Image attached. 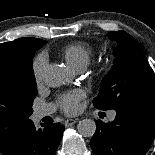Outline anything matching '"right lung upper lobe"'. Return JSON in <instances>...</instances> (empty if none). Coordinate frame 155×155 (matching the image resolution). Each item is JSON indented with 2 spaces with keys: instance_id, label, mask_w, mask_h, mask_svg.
<instances>
[{
  "instance_id": "right-lung-upper-lobe-1",
  "label": "right lung upper lobe",
  "mask_w": 155,
  "mask_h": 155,
  "mask_svg": "<svg viewBox=\"0 0 155 155\" xmlns=\"http://www.w3.org/2000/svg\"><path fill=\"white\" fill-rule=\"evenodd\" d=\"M41 42V39L24 37L11 42L2 43L0 44V58L9 56L16 51L34 49L39 46ZM4 148L5 146H0V152L3 151Z\"/></svg>"
}]
</instances>
